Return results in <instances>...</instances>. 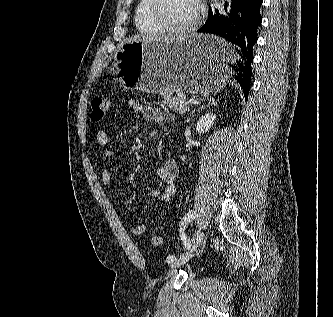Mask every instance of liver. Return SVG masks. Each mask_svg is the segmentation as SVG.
I'll use <instances>...</instances> for the list:
<instances>
[{
	"label": "liver",
	"mask_w": 333,
	"mask_h": 317,
	"mask_svg": "<svg viewBox=\"0 0 333 317\" xmlns=\"http://www.w3.org/2000/svg\"><path fill=\"white\" fill-rule=\"evenodd\" d=\"M182 38L183 37H173V36L151 37L146 35H135L126 39V41H152V40L173 41L175 39H182Z\"/></svg>",
	"instance_id": "liver-1"
}]
</instances>
